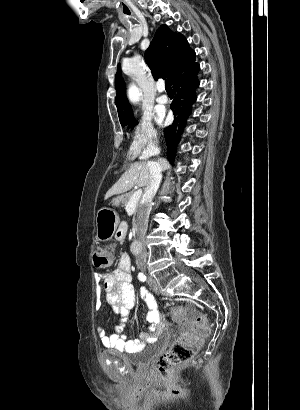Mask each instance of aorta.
Here are the masks:
<instances>
[{
  "instance_id": "1",
  "label": "aorta",
  "mask_w": 300,
  "mask_h": 410,
  "mask_svg": "<svg viewBox=\"0 0 300 410\" xmlns=\"http://www.w3.org/2000/svg\"><path fill=\"white\" fill-rule=\"evenodd\" d=\"M140 95H141V92L139 88L135 84H132L128 90V97L130 101L138 102L140 99Z\"/></svg>"
}]
</instances>
